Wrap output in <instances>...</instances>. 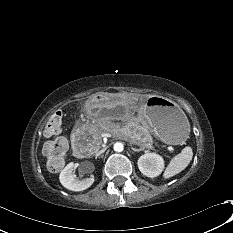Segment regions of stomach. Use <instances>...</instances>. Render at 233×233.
Masks as SVG:
<instances>
[{"label":"stomach","instance_id":"0dacf381","mask_svg":"<svg viewBox=\"0 0 233 233\" xmlns=\"http://www.w3.org/2000/svg\"><path fill=\"white\" fill-rule=\"evenodd\" d=\"M140 107V100L128 93L102 94L93 96L86 105L89 118L96 121L110 118L120 121L129 118ZM142 117L150 132L161 141L177 145L183 143L190 131L187 117L175 102L162 96H151L145 104Z\"/></svg>","mask_w":233,"mask_h":233}]
</instances>
